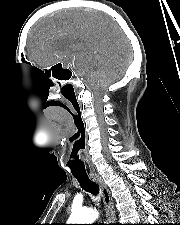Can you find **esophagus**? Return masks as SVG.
<instances>
[{
  "mask_svg": "<svg viewBox=\"0 0 180 225\" xmlns=\"http://www.w3.org/2000/svg\"><path fill=\"white\" fill-rule=\"evenodd\" d=\"M90 177H91L92 181L97 183L100 187L102 198H103V201H104V204L106 207V214H107L108 220L110 222H114L116 219V215H115L114 202L111 197L110 190L108 189L107 185L105 184V182L99 175L93 174Z\"/></svg>",
  "mask_w": 180,
  "mask_h": 225,
  "instance_id": "1",
  "label": "esophagus"
}]
</instances>
